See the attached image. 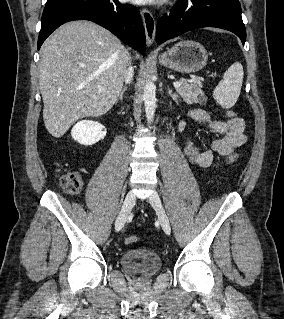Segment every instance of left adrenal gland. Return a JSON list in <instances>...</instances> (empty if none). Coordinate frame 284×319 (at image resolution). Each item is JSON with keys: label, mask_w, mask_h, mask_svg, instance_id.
Here are the masks:
<instances>
[{"label": "left adrenal gland", "mask_w": 284, "mask_h": 319, "mask_svg": "<svg viewBox=\"0 0 284 319\" xmlns=\"http://www.w3.org/2000/svg\"><path fill=\"white\" fill-rule=\"evenodd\" d=\"M168 93L173 101H175L177 104L179 103V95L177 93H173V91L168 88Z\"/></svg>", "instance_id": "obj_1"}]
</instances>
